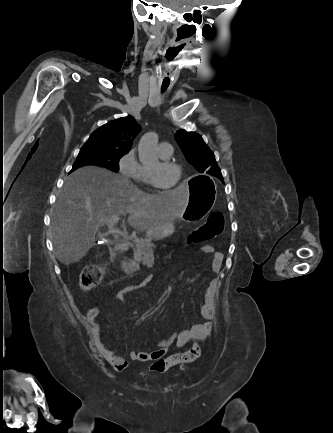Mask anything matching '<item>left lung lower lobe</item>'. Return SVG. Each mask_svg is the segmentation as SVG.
I'll return each mask as SVG.
<instances>
[{"label":"left lung lower lobe","mask_w":333,"mask_h":433,"mask_svg":"<svg viewBox=\"0 0 333 433\" xmlns=\"http://www.w3.org/2000/svg\"><path fill=\"white\" fill-rule=\"evenodd\" d=\"M221 181H223V178L221 177V178H219Z\"/></svg>","instance_id":"obj_1"}]
</instances>
